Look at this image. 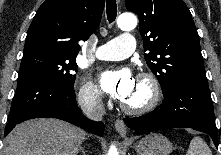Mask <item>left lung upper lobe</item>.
<instances>
[{"label":"left lung upper lobe","instance_id":"5c2ea615","mask_svg":"<svg viewBox=\"0 0 221 155\" xmlns=\"http://www.w3.org/2000/svg\"><path fill=\"white\" fill-rule=\"evenodd\" d=\"M125 5L138 15L145 60L164 96L184 78L205 76L199 36L182 0H125Z\"/></svg>","mask_w":221,"mask_h":155}]
</instances>
